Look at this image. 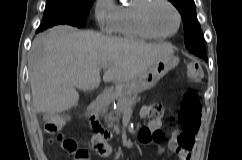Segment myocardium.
Returning a JSON list of instances; mask_svg holds the SVG:
<instances>
[{"mask_svg":"<svg viewBox=\"0 0 242 160\" xmlns=\"http://www.w3.org/2000/svg\"><path fill=\"white\" fill-rule=\"evenodd\" d=\"M157 2H163L167 4L169 7L172 8V10L175 12L176 17H177V27L174 32L170 34H161L156 32L150 25L149 19H148V13L150 8L152 7L153 4ZM136 19L138 22L139 27L149 36L153 38H158V39H168L173 36H175L182 24V15L177 8V6L171 1V0H144L137 8L136 11Z\"/></svg>","mask_w":242,"mask_h":160,"instance_id":"obj_1","label":"myocardium"}]
</instances>
